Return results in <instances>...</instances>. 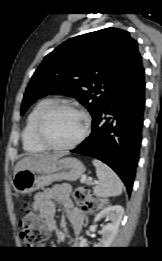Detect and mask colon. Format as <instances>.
I'll return each mask as SVG.
<instances>
[{
	"label": "colon",
	"mask_w": 162,
	"mask_h": 261,
	"mask_svg": "<svg viewBox=\"0 0 162 261\" xmlns=\"http://www.w3.org/2000/svg\"><path fill=\"white\" fill-rule=\"evenodd\" d=\"M73 200L85 213H94L104 206V200L93 195L86 187H78L73 192ZM20 235L27 247L42 246L47 240V232L40 218L26 210L19 222Z\"/></svg>",
	"instance_id": "5ec220e1"
}]
</instances>
